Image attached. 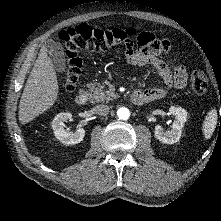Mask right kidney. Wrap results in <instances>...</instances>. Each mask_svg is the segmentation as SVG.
Returning a JSON list of instances; mask_svg holds the SVG:
<instances>
[{"label": "right kidney", "instance_id": "ca27d5eb", "mask_svg": "<svg viewBox=\"0 0 221 221\" xmlns=\"http://www.w3.org/2000/svg\"><path fill=\"white\" fill-rule=\"evenodd\" d=\"M71 118L72 115L70 113H59L54 117L51 123L55 137L63 144L67 145L80 143L85 135V130L80 127L74 133L68 132L63 128L64 122L71 120Z\"/></svg>", "mask_w": 221, "mask_h": 221}]
</instances>
